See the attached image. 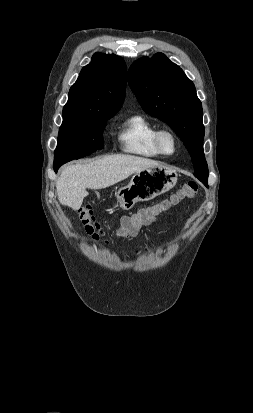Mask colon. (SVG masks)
I'll return each instance as SVG.
<instances>
[{"label":"colon","mask_w":253,"mask_h":413,"mask_svg":"<svg viewBox=\"0 0 253 413\" xmlns=\"http://www.w3.org/2000/svg\"><path fill=\"white\" fill-rule=\"evenodd\" d=\"M197 192L198 185L196 182H185L176 192L162 201L141 208L133 214L123 216L121 225L116 231V236L126 239L136 235L143 225L152 223L161 213L170 209L180 200L196 197ZM78 215L86 233L95 241H100L103 237V231L95 220L91 208L89 206L80 208Z\"/></svg>","instance_id":"colon-1"}]
</instances>
